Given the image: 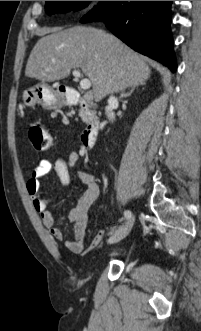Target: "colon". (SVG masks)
Returning a JSON list of instances; mask_svg holds the SVG:
<instances>
[{"mask_svg":"<svg viewBox=\"0 0 201 331\" xmlns=\"http://www.w3.org/2000/svg\"><path fill=\"white\" fill-rule=\"evenodd\" d=\"M28 136L33 147L37 151H45L52 144V135L42 123H34L29 128Z\"/></svg>","mask_w":201,"mask_h":331,"instance_id":"5ec220e1","label":"colon"}]
</instances>
